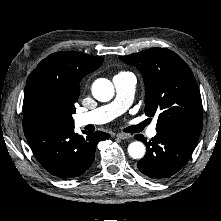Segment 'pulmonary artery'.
Here are the masks:
<instances>
[{
	"instance_id": "1",
	"label": "pulmonary artery",
	"mask_w": 221,
	"mask_h": 221,
	"mask_svg": "<svg viewBox=\"0 0 221 221\" xmlns=\"http://www.w3.org/2000/svg\"><path fill=\"white\" fill-rule=\"evenodd\" d=\"M116 89V98L108 105L99 107L90 112L78 114L75 122L78 126L89 124H103L120 115L130 105L135 92L136 79L132 73H124L116 75L113 78ZM149 137L157 134L156 124H152L147 132Z\"/></svg>"
}]
</instances>
